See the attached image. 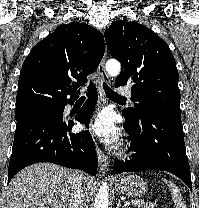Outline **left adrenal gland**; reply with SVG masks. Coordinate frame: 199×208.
<instances>
[{"mask_svg":"<svg viewBox=\"0 0 199 208\" xmlns=\"http://www.w3.org/2000/svg\"><path fill=\"white\" fill-rule=\"evenodd\" d=\"M120 207H121L120 200H118V203L116 205V208H120Z\"/></svg>","mask_w":199,"mask_h":208,"instance_id":"1","label":"left adrenal gland"}]
</instances>
